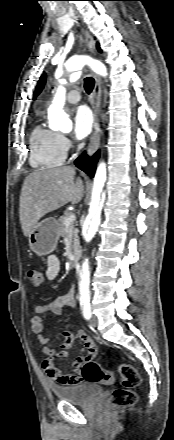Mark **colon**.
Instances as JSON below:
<instances>
[{
  "label": "colon",
  "instance_id": "obj_1",
  "mask_svg": "<svg viewBox=\"0 0 174 440\" xmlns=\"http://www.w3.org/2000/svg\"><path fill=\"white\" fill-rule=\"evenodd\" d=\"M27 276L34 285L42 284L44 280L41 268L31 266L27 269ZM44 370L47 365H43ZM119 374L122 379V388L116 389L109 398V407L111 409H121L133 406L137 401V394L134 389L141 387L142 380L138 370L127 363L120 364ZM81 378L89 383H113L114 374L103 370L93 359L87 360L81 370Z\"/></svg>",
  "mask_w": 174,
  "mask_h": 440
}]
</instances>
